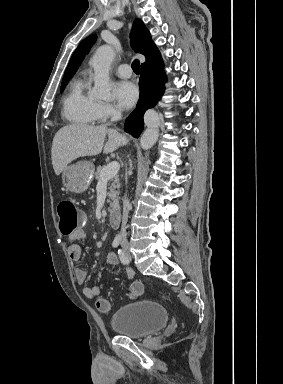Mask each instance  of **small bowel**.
I'll return each instance as SVG.
<instances>
[{
    "label": "small bowel",
    "mask_w": 283,
    "mask_h": 384,
    "mask_svg": "<svg viewBox=\"0 0 283 384\" xmlns=\"http://www.w3.org/2000/svg\"><path fill=\"white\" fill-rule=\"evenodd\" d=\"M85 237H86V233L82 227L78 228L76 231L68 235V239L71 242L70 245L68 246V254L74 263H79L81 259L82 250L78 244L73 242L76 240H83L85 239ZM107 262L111 265L119 264V260L115 253H109L107 255ZM126 273L129 278L133 277L134 272L130 267H126ZM74 275L78 284L83 285L82 292L86 298L94 299L101 294L104 288V283H101L92 287L85 285L87 281V272L83 268H81L80 266H75ZM133 284H138L141 288H143L141 283L135 282Z\"/></svg>",
    "instance_id": "1"
}]
</instances>
